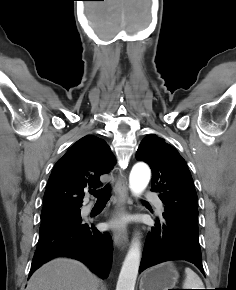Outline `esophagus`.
Wrapping results in <instances>:
<instances>
[{
  "mask_svg": "<svg viewBox=\"0 0 236 290\" xmlns=\"http://www.w3.org/2000/svg\"><path fill=\"white\" fill-rule=\"evenodd\" d=\"M116 213L115 218H119L126 211V206L130 203L129 189L125 175L120 172L115 180ZM114 243L125 248L128 245V235L125 229L116 228L113 230Z\"/></svg>",
  "mask_w": 236,
  "mask_h": 290,
  "instance_id": "34e87169",
  "label": "esophagus"
}]
</instances>
